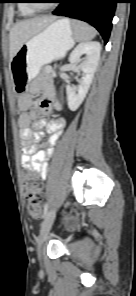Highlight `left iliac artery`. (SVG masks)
<instances>
[{
    "mask_svg": "<svg viewBox=\"0 0 136 296\" xmlns=\"http://www.w3.org/2000/svg\"><path fill=\"white\" fill-rule=\"evenodd\" d=\"M47 212H48V204L46 203L44 205V210H43V217H45L47 215Z\"/></svg>",
    "mask_w": 136,
    "mask_h": 296,
    "instance_id": "1",
    "label": "left iliac artery"
}]
</instances>
